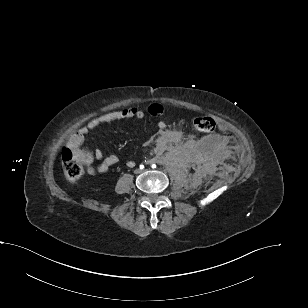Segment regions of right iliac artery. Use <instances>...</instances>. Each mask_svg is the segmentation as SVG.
<instances>
[{
  "instance_id": "1",
  "label": "right iliac artery",
  "mask_w": 308,
  "mask_h": 308,
  "mask_svg": "<svg viewBox=\"0 0 308 308\" xmlns=\"http://www.w3.org/2000/svg\"><path fill=\"white\" fill-rule=\"evenodd\" d=\"M144 168V166L143 165H140V169H143Z\"/></svg>"
}]
</instances>
